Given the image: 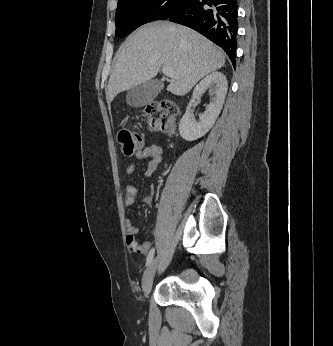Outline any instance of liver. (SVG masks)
<instances>
[{"label": "liver", "instance_id": "obj_1", "mask_svg": "<svg viewBox=\"0 0 333 346\" xmlns=\"http://www.w3.org/2000/svg\"><path fill=\"white\" fill-rule=\"evenodd\" d=\"M225 64L224 52L196 31L169 22L140 27L119 48L110 75L107 102L123 91L142 85L167 66L178 77L167 91L182 96L205 75Z\"/></svg>", "mask_w": 333, "mask_h": 346}]
</instances>
